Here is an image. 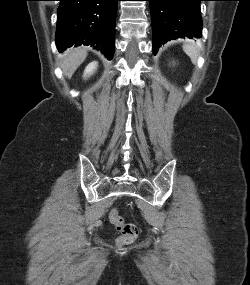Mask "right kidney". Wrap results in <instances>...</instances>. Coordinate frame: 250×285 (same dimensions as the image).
<instances>
[{
    "instance_id": "obj_1",
    "label": "right kidney",
    "mask_w": 250,
    "mask_h": 285,
    "mask_svg": "<svg viewBox=\"0 0 250 285\" xmlns=\"http://www.w3.org/2000/svg\"><path fill=\"white\" fill-rule=\"evenodd\" d=\"M97 65H98V63L96 61H93V62L89 63L87 65V67L85 68V70H84L83 77L87 78L90 75H92L94 73V71L97 69Z\"/></svg>"
}]
</instances>
